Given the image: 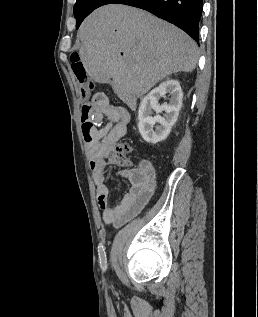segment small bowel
I'll list each match as a JSON object with an SVG mask.
<instances>
[{"mask_svg":"<svg viewBox=\"0 0 258 317\" xmlns=\"http://www.w3.org/2000/svg\"><path fill=\"white\" fill-rule=\"evenodd\" d=\"M88 111L99 122L104 118L108 120L107 125L100 130L98 140L93 144H86V150L103 220L106 224L119 227L136 217L150 201L156 187V171L153 164L146 159L139 161L133 168L121 171L130 187L118 203L108 205L106 170L110 162H113L110 154L116 142L126 134L131 115L125 107L110 104L102 93L94 95L89 107L82 106L81 120Z\"/></svg>","mask_w":258,"mask_h":317,"instance_id":"obj_1","label":"small bowel"}]
</instances>
